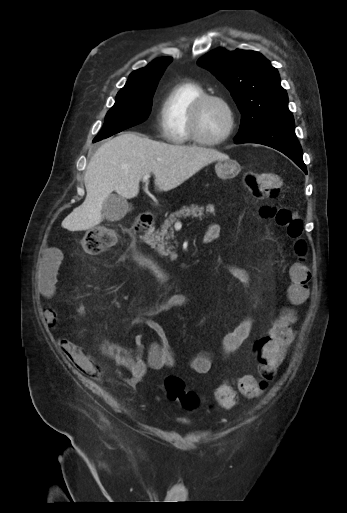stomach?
Returning <instances> with one entry per match:
<instances>
[{
  "label": "stomach",
  "instance_id": "1",
  "mask_svg": "<svg viewBox=\"0 0 347 513\" xmlns=\"http://www.w3.org/2000/svg\"><path fill=\"white\" fill-rule=\"evenodd\" d=\"M241 170L239 163L233 159L218 160L215 164L217 176L223 180L234 178Z\"/></svg>",
  "mask_w": 347,
  "mask_h": 513
}]
</instances>
